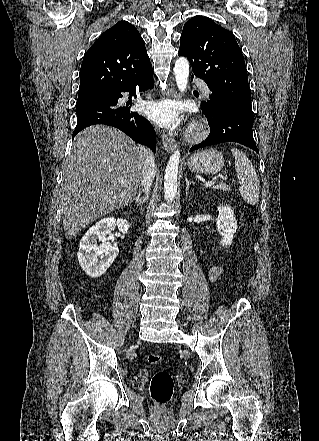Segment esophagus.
<instances>
[{
    "label": "esophagus",
    "instance_id": "1",
    "mask_svg": "<svg viewBox=\"0 0 319 441\" xmlns=\"http://www.w3.org/2000/svg\"><path fill=\"white\" fill-rule=\"evenodd\" d=\"M164 96L167 98H173V99L179 98V94H178L176 88H174V87L168 89L164 93ZM162 143H163L165 150L168 153L172 152L176 148V142H175V139H174V136L172 133H167L164 131L162 134Z\"/></svg>",
    "mask_w": 319,
    "mask_h": 441
}]
</instances>
